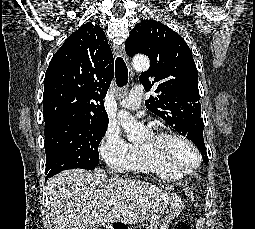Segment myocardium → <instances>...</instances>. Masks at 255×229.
Segmentation results:
<instances>
[{
  "label": "myocardium",
  "mask_w": 255,
  "mask_h": 229,
  "mask_svg": "<svg viewBox=\"0 0 255 229\" xmlns=\"http://www.w3.org/2000/svg\"><path fill=\"white\" fill-rule=\"evenodd\" d=\"M169 139H176L178 141L183 142L186 144L195 154L196 161L194 164L190 166H175L172 163H170L163 155V153L160 150V146L163 142ZM145 148L157 159L160 160L169 170L173 172H186L191 173L195 171L202 162V156L200 151L198 150L197 146L186 136L181 135L179 133L175 132H160L155 133L152 135V141L149 143L144 144Z\"/></svg>",
  "instance_id": "1"
}]
</instances>
